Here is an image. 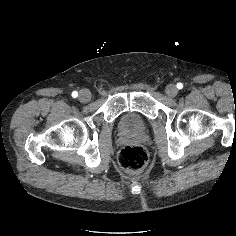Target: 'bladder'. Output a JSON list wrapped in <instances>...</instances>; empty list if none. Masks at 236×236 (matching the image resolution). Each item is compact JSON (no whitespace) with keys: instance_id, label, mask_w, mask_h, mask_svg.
Segmentation results:
<instances>
[{"instance_id":"1","label":"bladder","mask_w":236,"mask_h":236,"mask_svg":"<svg viewBox=\"0 0 236 236\" xmlns=\"http://www.w3.org/2000/svg\"><path fill=\"white\" fill-rule=\"evenodd\" d=\"M120 126L125 131L139 132L145 128V120L135 112H126L120 120Z\"/></svg>"}]
</instances>
